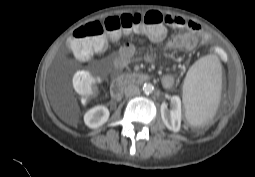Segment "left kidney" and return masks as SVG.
I'll return each mask as SVG.
<instances>
[{
	"label": "left kidney",
	"instance_id": "1",
	"mask_svg": "<svg viewBox=\"0 0 255 177\" xmlns=\"http://www.w3.org/2000/svg\"><path fill=\"white\" fill-rule=\"evenodd\" d=\"M170 111L167 110V105L164 103L161 105V117L169 130L178 132L181 125V100L178 96L171 97Z\"/></svg>",
	"mask_w": 255,
	"mask_h": 177
}]
</instances>
